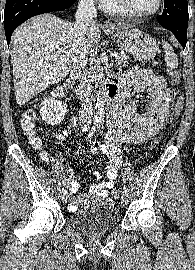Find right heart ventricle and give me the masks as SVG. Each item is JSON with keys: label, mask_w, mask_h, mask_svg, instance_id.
<instances>
[{"label": "right heart ventricle", "mask_w": 195, "mask_h": 270, "mask_svg": "<svg viewBox=\"0 0 195 270\" xmlns=\"http://www.w3.org/2000/svg\"><path fill=\"white\" fill-rule=\"evenodd\" d=\"M102 7L106 12L113 15L133 17L129 12L125 10L119 0H105Z\"/></svg>", "instance_id": "right-heart-ventricle-1"}]
</instances>
